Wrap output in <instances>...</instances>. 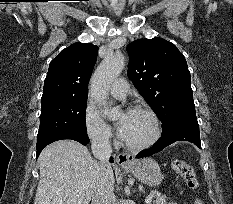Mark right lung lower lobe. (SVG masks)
<instances>
[{
	"instance_id": "1",
	"label": "right lung lower lobe",
	"mask_w": 233,
	"mask_h": 204,
	"mask_svg": "<svg viewBox=\"0 0 233 204\" xmlns=\"http://www.w3.org/2000/svg\"><path fill=\"white\" fill-rule=\"evenodd\" d=\"M61 139H72V140H75V141H78L79 143L83 144V145H86L89 143V138L88 136H79V135H69V136H64V137H61L57 140H61ZM56 140V141H57ZM47 146V145H44V146H41V147H37V157L39 156L40 152L43 150V148ZM111 162L112 161V158H111Z\"/></svg>"
}]
</instances>
